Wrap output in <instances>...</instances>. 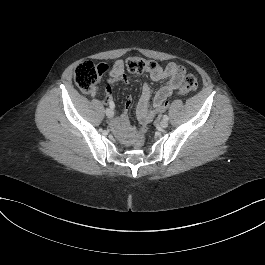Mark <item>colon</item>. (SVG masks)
Listing matches in <instances>:
<instances>
[{"label":"colon","instance_id":"colon-1","mask_svg":"<svg viewBox=\"0 0 265 265\" xmlns=\"http://www.w3.org/2000/svg\"><path fill=\"white\" fill-rule=\"evenodd\" d=\"M158 67V64L154 60L145 59L141 57H131L126 61V68L128 72L132 74H142L145 72H152ZM99 69L94 63L85 61L80 63L74 73V79L77 86L83 92H91L99 79ZM198 87L197 77L193 73L186 74L181 82L178 89L180 94H186L196 90ZM169 103L163 102L161 105L154 108L146 117L145 122H150L158 113L163 112L167 109ZM145 133L144 127L140 128L135 139L134 147L141 149L145 145Z\"/></svg>","mask_w":265,"mask_h":265}]
</instances>
